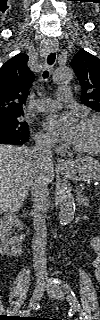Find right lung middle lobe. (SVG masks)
I'll use <instances>...</instances> for the list:
<instances>
[{"instance_id": "1", "label": "right lung middle lobe", "mask_w": 100, "mask_h": 320, "mask_svg": "<svg viewBox=\"0 0 100 320\" xmlns=\"http://www.w3.org/2000/svg\"><path fill=\"white\" fill-rule=\"evenodd\" d=\"M28 124L20 117L0 119V140L11 137L27 138Z\"/></svg>"}]
</instances>
